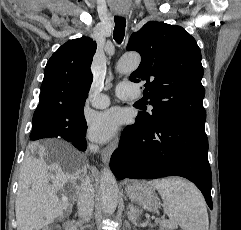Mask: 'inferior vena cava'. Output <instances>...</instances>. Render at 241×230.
I'll list each match as a JSON object with an SVG mask.
<instances>
[{
    "label": "inferior vena cava",
    "mask_w": 241,
    "mask_h": 230,
    "mask_svg": "<svg viewBox=\"0 0 241 230\" xmlns=\"http://www.w3.org/2000/svg\"><path fill=\"white\" fill-rule=\"evenodd\" d=\"M91 150H97V146H90ZM93 207H94V188L90 181V179L87 177L83 183L81 184L79 196H78V215L84 222H88L93 213Z\"/></svg>",
    "instance_id": "inferior-vena-cava-1"
}]
</instances>
